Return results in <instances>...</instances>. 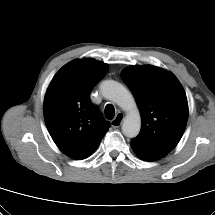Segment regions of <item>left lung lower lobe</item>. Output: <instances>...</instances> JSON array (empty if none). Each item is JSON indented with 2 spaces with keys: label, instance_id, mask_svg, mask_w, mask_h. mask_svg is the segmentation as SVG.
Masks as SVG:
<instances>
[{
  "label": "left lung lower lobe",
  "instance_id": "0a47b994",
  "mask_svg": "<svg viewBox=\"0 0 215 215\" xmlns=\"http://www.w3.org/2000/svg\"><path fill=\"white\" fill-rule=\"evenodd\" d=\"M132 149L137 154V156L140 157L142 160H145V161H155V160L159 159L157 157L145 154V153H143L142 151H140L138 149H135V148H132Z\"/></svg>",
  "mask_w": 215,
  "mask_h": 215
}]
</instances>
